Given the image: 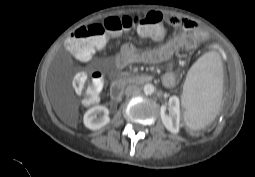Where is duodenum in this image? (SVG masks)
<instances>
[{
    "label": "duodenum",
    "mask_w": 255,
    "mask_h": 177,
    "mask_svg": "<svg viewBox=\"0 0 255 177\" xmlns=\"http://www.w3.org/2000/svg\"><path fill=\"white\" fill-rule=\"evenodd\" d=\"M154 79L149 74H136L131 76H122L113 81L111 85V95L115 100H120L124 86L128 83L144 84Z\"/></svg>",
    "instance_id": "obj_1"
}]
</instances>
